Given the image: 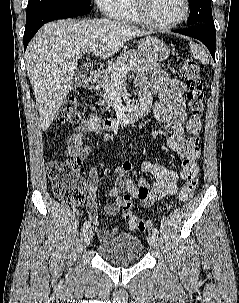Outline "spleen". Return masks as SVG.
<instances>
[{"instance_id":"obj_1","label":"spleen","mask_w":239,"mask_h":303,"mask_svg":"<svg viewBox=\"0 0 239 303\" xmlns=\"http://www.w3.org/2000/svg\"><path fill=\"white\" fill-rule=\"evenodd\" d=\"M191 52L193 54V56L198 59L203 65H208L209 64V59H208V55L206 53V50L193 42L189 43Z\"/></svg>"}]
</instances>
